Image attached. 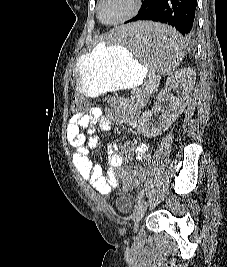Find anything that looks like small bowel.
I'll return each instance as SVG.
<instances>
[{"label":"small bowel","mask_w":227,"mask_h":267,"mask_svg":"<svg viewBox=\"0 0 227 267\" xmlns=\"http://www.w3.org/2000/svg\"><path fill=\"white\" fill-rule=\"evenodd\" d=\"M138 114L139 106L135 102L120 99L113 111L105 112L101 108L91 107L70 118L66 135L69 144L74 148L73 164L80 176L92 184L96 191L106 194L118 185L117 169L125 161L132 157L139 162L149 159V147L136 137H132L125 146H119L114 142L107 145L109 168L105 175L101 167L94 165L87 156L90 149L97 148L101 143L97 131L110 130L113 122L136 127Z\"/></svg>","instance_id":"c3829d8e"}]
</instances>
